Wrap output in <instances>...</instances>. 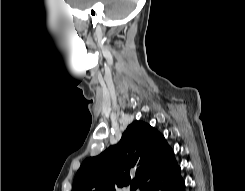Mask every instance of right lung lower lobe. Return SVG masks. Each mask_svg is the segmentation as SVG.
Returning <instances> with one entry per match:
<instances>
[{"mask_svg": "<svg viewBox=\"0 0 245 191\" xmlns=\"http://www.w3.org/2000/svg\"><path fill=\"white\" fill-rule=\"evenodd\" d=\"M148 191H185V182L176 165L169 173L162 176Z\"/></svg>", "mask_w": 245, "mask_h": 191, "instance_id": "obj_1", "label": "right lung lower lobe"}]
</instances>
